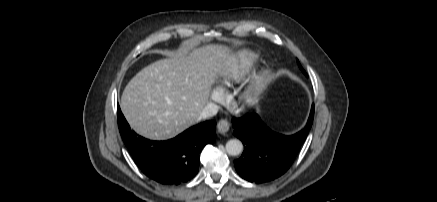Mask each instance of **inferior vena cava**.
<instances>
[{
  "instance_id": "inferior-vena-cava-1",
  "label": "inferior vena cava",
  "mask_w": 437,
  "mask_h": 202,
  "mask_svg": "<svg viewBox=\"0 0 437 202\" xmlns=\"http://www.w3.org/2000/svg\"><path fill=\"white\" fill-rule=\"evenodd\" d=\"M218 110H219V106L216 105L215 103L206 104L205 107L200 112L199 120L210 118V117L216 115Z\"/></svg>"
}]
</instances>
